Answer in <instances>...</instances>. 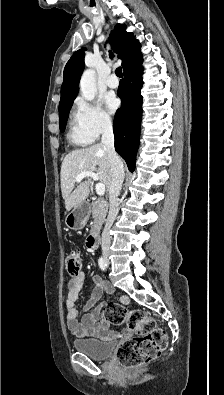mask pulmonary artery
Segmentation results:
<instances>
[{"mask_svg": "<svg viewBox=\"0 0 224 395\" xmlns=\"http://www.w3.org/2000/svg\"><path fill=\"white\" fill-rule=\"evenodd\" d=\"M106 85H107L109 88H116V87H118V85H119V81H118V79H117L114 75H111V76H109V77L107 78V80H106Z\"/></svg>", "mask_w": 224, "mask_h": 395, "instance_id": "pulmonary-artery-1", "label": "pulmonary artery"}]
</instances>
